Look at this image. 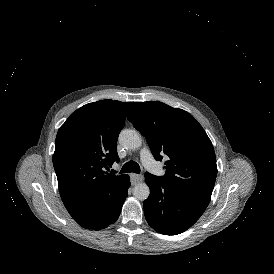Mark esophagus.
I'll use <instances>...</instances> for the list:
<instances>
[{
  "label": "esophagus",
  "mask_w": 274,
  "mask_h": 274,
  "mask_svg": "<svg viewBox=\"0 0 274 274\" xmlns=\"http://www.w3.org/2000/svg\"><path fill=\"white\" fill-rule=\"evenodd\" d=\"M143 180H144L143 175L134 174V173L130 174V181H131L132 185H136V184L142 182Z\"/></svg>",
  "instance_id": "obj_1"
}]
</instances>
